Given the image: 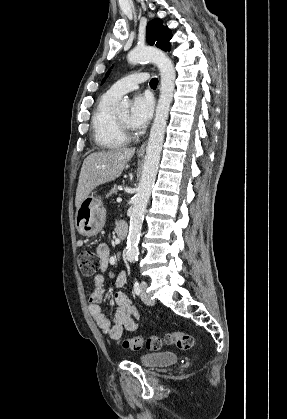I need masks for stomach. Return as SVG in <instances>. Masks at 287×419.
<instances>
[{
  "label": "stomach",
  "mask_w": 287,
  "mask_h": 419,
  "mask_svg": "<svg viewBox=\"0 0 287 419\" xmlns=\"http://www.w3.org/2000/svg\"><path fill=\"white\" fill-rule=\"evenodd\" d=\"M106 211L100 198L93 195L85 198L77 208L75 225L85 237L96 236L104 227Z\"/></svg>",
  "instance_id": "stomach-1"
}]
</instances>
